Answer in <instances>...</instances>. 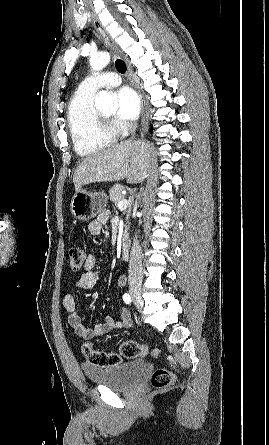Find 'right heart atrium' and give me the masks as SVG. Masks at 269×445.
Instances as JSON below:
<instances>
[{"mask_svg": "<svg viewBox=\"0 0 269 445\" xmlns=\"http://www.w3.org/2000/svg\"><path fill=\"white\" fill-rule=\"evenodd\" d=\"M114 127L118 132L124 133L128 130L129 125L126 123H122V122H115Z\"/></svg>", "mask_w": 269, "mask_h": 445, "instance_id": "d8ad5b80", "label": "right heart atrium"}]
</instances>
